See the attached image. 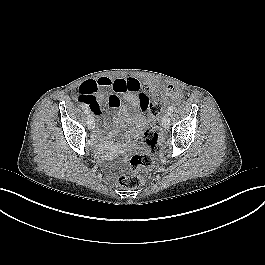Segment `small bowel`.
I'll list each match as a JSON object with an SVG mask.
<instances>
[{
    "label": "small bowel",
    "mask_w": 265,
    "mask_h": 265,
    "mask_svg": "<svg viewBox=\"0 0 265 265\" xmlns=\"http://www.w3.org/2000/svg\"><path fill=\"white\" fill-rule=\"evenodd\" d=\"M154 89L155 85L153 83H142L135 77L116 79L100 77L97 80L84 82L79 88L77 100L86 105L96 117L101 115L104 104L117 108L118 120L126 123L129 122L127 107L121 103V99L133 104L137 113L144 114L150 110L152 100L151 94L145 90L152 91ZM107 90H112L114 94H107ZM95 139L99 143L104 142V136L99 128L95 131Z\"/></svg>",
    "instance_id": "small-bowel-1"
}]
</instances>
